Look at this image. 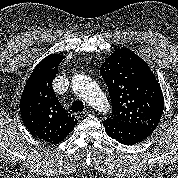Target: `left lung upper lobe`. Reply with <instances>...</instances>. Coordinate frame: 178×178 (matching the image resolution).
<instances>
[{"mask_svg":"<svg viewBox=\"0 0 178 178\" xmlns=\"http://www.w3.org/2000/svg\"><path fill=\"white\" fill-rule=\"evenodd\" d=\"M108 86L116 122L156 129L163 114L164 97L150 68L129 49H118L100 67Z\"/></svg>","mask_w":178,"mask_h":178,"instance_id":"5c2ea615","label":"left lung upper lobe"}]
</instances>
